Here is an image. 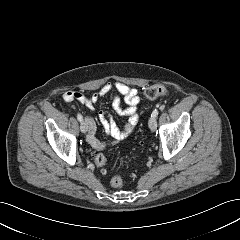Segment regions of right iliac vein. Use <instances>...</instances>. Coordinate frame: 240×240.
I'll use <instances>...</instances> for the list:
<instances>
[{
	"label": "right iliac vein",
	"mask_w": 240,
	"mask_h": 240,
	"mask_svg": "<svg viewBox=\"0 0 240 240\" xmlns=\"http://www.w3.org/2000/svg\"><path fill=\"white\" fill-rule=\"evenodd\" d=\"M80 130L82 133H86L87 130H88V127H87V124L85 121H82L81 124H80Z\"/></svg>",
	"instance_id": "obj_1"
}]
</instances>
